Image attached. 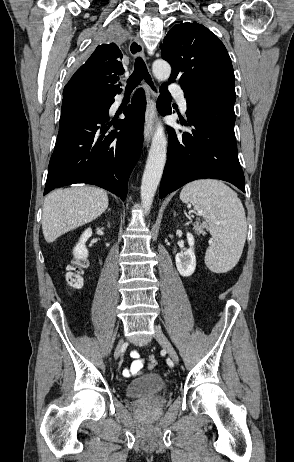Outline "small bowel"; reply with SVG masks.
<instances>
[{
  "label": "small bowel",
  "mask_w": 294,
  "mask_h": 462,
  "mask_svg": "<svg viewBox=\"0 0 294 462\" xmlns=\"http://www.w3.org/2000/svg\"><path fill=\"white\" fill-rule=\"evenodd\" d=\"M130 357L133 359V361L122 371L123 376L127 378L136 376L143 371V360L139 357V353L136 350H133L130 353Z\"/></svg>",
  "instance_id": "obj_1"
}]
</instances>
